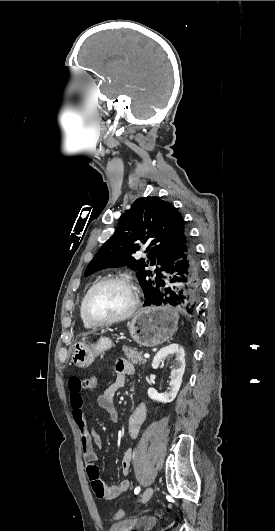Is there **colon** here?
<instances>
[{
  "mask_svg": "<svg viewBox=\"0 0 275 531\" xmlns=\"http://www.w3.org/2000/svg\"><path fill=\"white\" fill-rule=\"evenodd\" d=\"M97 380L95 377H85V381L82 383V390L83 392H91L94 393L97 390ZM124 516V511L122 509H118L115 512L114 521H117V518H122Z\"/></svg>",
  "mask_w": 275,
  "mask_h": 531,
  "instance_id": "5ec220e1",
  "label": "colon"
}]
</instances>
